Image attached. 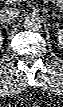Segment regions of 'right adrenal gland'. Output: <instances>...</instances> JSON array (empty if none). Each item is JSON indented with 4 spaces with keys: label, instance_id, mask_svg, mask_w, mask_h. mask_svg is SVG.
Here are the masks:
<instances>
[{
    "label": "right adrenal gland",
    "instance_id": "2a0ac1e0",
    "mask_svg": "<svg viewBox=\"0 0 63 107\" xmlns=\"http://www.w3.org/2000/svg\"><path fill=\"white\" fill-rule=\"evenodd\" d=\"M0 28H1V29H2V28H7V26H5V25H1Z\"/></svg>",
    "mask_w": 63,
    "mask_h": 107
}]
</instances>
